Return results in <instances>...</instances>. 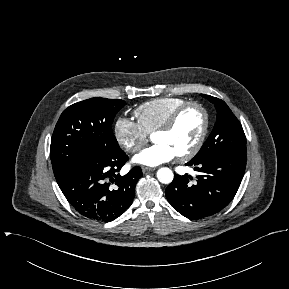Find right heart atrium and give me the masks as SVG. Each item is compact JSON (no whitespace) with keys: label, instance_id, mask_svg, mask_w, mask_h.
I'll list each match as a JSON object with an SVG mask.
<instances>
[{"label":"right heart atrium","instance_id":"1","mask_svg":"<svg viewBox=\"0 0 289 289\" xmlns=\"http://www.w3.org/2000/svg\"><path fill=\"white\" fill-rule=\"evenodd\" d=\"M113 133L119 146L129 153L139 151L148 137L137 122L127 117H119L115 121Z\"/></svg>","mask_w":289,"mask_h":289}]
</instances>
